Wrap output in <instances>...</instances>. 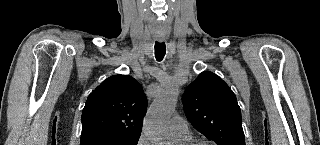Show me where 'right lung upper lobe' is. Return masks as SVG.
<instances>
[{"mask_svg": "<svg viewBox=\"0 0 320 145\" xmlns=\"http://www.w3.org/2000/svg\"><path fill=\"white\" fill-rule=\"evenodd\" d=\"M146 110L147 98L136 79L111 76L86 101L81 139L97 134H140Z\"/></svg>", "mask_w": 320, "mask_h": 145, "instance_id": "right-lung-upper-lobe-1", "label": "right lung upper lobe"}]
</instances>
